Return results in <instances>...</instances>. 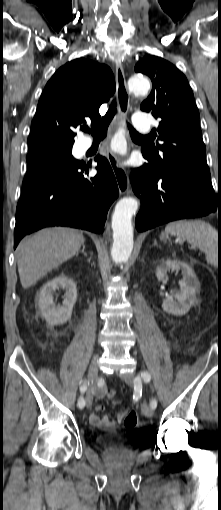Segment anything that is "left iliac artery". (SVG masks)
Segmentation results:
<instances>
[{
    "label": "left iliac artery",
    "mask_w": 221,
    "mask_h": 510,
    "mask_svg": "<svg viewBox=\"0 0 221 510\" xmlns=\"http://www.w3.org/2000/svg\"><path fill=\"white\" fill-rule=\"evenodd\" d=\"M141 378L144 380V382H150L151 380V375L147 372V371H144L141 373V376L138 375L135 379V384H140L141 383ZM150 407L152 409H156L157 407V400L156 399H152L151 402H150Z\"/></svg>",
    "instance_id": "obj_1"
}]
</instances>
